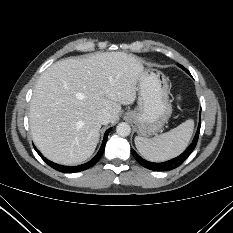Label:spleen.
Returning <instances> with one entry per match:
<instances>
[{
    "label": "spleen",
    "mask_w": 233,
    "mask_h": 233,
    "mask_svg": "<svg viewBox=\"0 0 233 233\" xmlns=\"http://www.w3.org/2000/svg\"><path fill=\"white\" fill-rule=\"evenodd\" d=\"M194 121L186 120L176 128L152 139L135 137L139 153L149 161L162 162L181 154L192 137Z\"/></svg>",
    "instance_id": "obj_1"
}]
</instances>
